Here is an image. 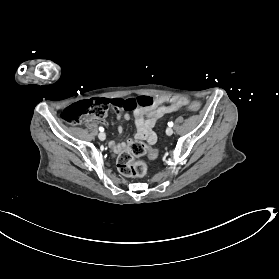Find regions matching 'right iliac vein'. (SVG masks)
Masks as SVG:
<instances>
[{
  "mask_svg": "<svg viewBox=\"0 0 279 279\" xmlns=\"http://www.w3.org/2000/svg\"><path fill=\"white\" fill-rule=\"evenodd\" d=\"M98 137H99V139H100L101 141H104V140L106 139V135H105V133H103V132H100L99 135H98Z\"/></svg>",
  "mask_w": 279,
  "mask_h": 279,
  "instance_id": "63e3f726",
  "label": "right iliac vein"
}]
</instances>
